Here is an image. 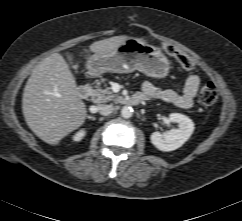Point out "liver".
Instances as JSON below:
<instances>
[{"label": "liver", "instance_id": "1", "mask_svg": "<svg viewBox=\"0 0 242 221\" xmlns=\"http://www.w3.org/2000/svg\"><path fill=\"white\" fill-rule=\"evenodd\" d=\"M127 36H114L89 46L93 53L111 52ZM69 66L59 53L44 58L33 69L23 92L22 110L28 127L42 141L57 145L86 119Z\"/></svg>", "mask_w": 242, "mask_h": 221}]
</instances>
